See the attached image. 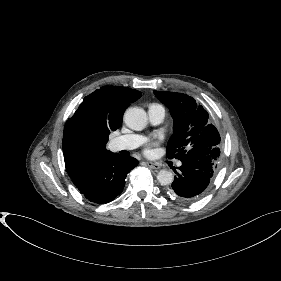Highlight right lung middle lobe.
<instances>
[{"label":"right lung middle lobe","mask_w":281,"mask_h":281,"mask_svg":"<svg viewBox=\"0 0 281 281\" xmlns=\"http://www.w3.org/2000/svg\"><path fill=\"white\" fill-rule=\"evenodd\" d=\"M70 139L77 149H88L96 141L95 135L89 131L82 121H78L71 127Z\"/></svg>","instance_id":"obj_1"}]
</instances>
